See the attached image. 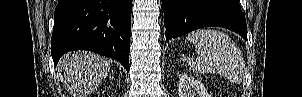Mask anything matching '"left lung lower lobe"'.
Instances as JSON below:
<instances>
[{"label": "left lung lower lobe", "instance_id": "obj_1", "mask_svg": "<svg viewBox=\"0 0 302 97\" xmlns=\"http://www.w3.org/2000/svg\"><path fill=\"white\" fill-rule=\"evenodd\" d=\"M165 40L193 30L219 26L247 40V26L239 0H163Z\"/></svg>", "mask_w": 302, "mask_h": 97}]
</instances>
